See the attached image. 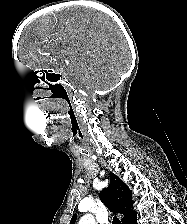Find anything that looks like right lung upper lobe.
Returning <instances> with one entry per match:
<instances>
[{
    "mask_svg": "<svg viewBox=\"0 0 187 224\" xmlns=\"http://www.w3.org/2000/svg\"><path fill=\"white\" fill-rule=\"evenodd\" d=\"M101 200L113 213H121L124 215L122 224H130L137 213L133 210L132 193L128 186L115 174L111 173L109 186L100 192ZM76 214L71 218L70 224H75Z\"/></svg>",
    "mask_w": 187,
    "mask_h": 224,
    "instance_id": "1",
    "label": "right lung upper lobe"
}]
</instances>
